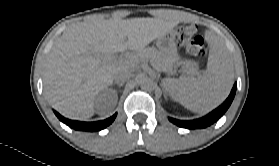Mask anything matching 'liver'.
Segmentation results:
<instances>
[{"instance_id": "liver-1", "label": "liver", "mask_w": 279, "mask_h": 166, "mask_svg": "<svg viewBox=\"0 0 279 166\" xmlns=\"http://www.w3.org/2000/svg\"><path fill=\"white\" fill-rule=\"evenodd\" d=\"M176 11L164 17L105 19L93 15L73 24L57 39L46 60L45 95L63 116L87 120L95 113L97 94L110 86L115 72L127 62L110 63L107 55L141 51L177 24Z\"/></svg>"}]
</instances>
